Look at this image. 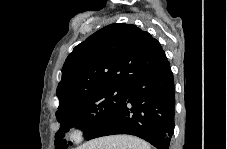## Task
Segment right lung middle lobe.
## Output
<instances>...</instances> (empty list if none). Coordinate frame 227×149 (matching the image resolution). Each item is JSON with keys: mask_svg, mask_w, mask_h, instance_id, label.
Segmentation results:
<instances>
[{"mask_svg": "<svg viewBox=\"0 0 227 149\" xmlns=\"http://www.w3.org/2000/svg\"><path fill=\"white\" fill-rule=\"evenodd\" d=\"M126 88L119 85L104 86L75 99L56 112L63 127L55 134L56 149H67L63 133L69 127H79L87 138L102 122L113 115L125 102ZM70 145L72 143L68 142Z\"/></svg>", "mask_w": 227, "mask_h": 149, "instance_id": "right-lung-middle-lobe-1", "label": "right lung middle lobe"}]
</instances>
